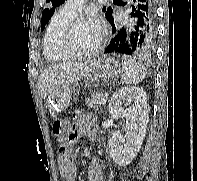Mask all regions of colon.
I'll return each mask as SVG.
<instances>
[{
    "instance_id": "5ec220e1",
    "label": "colon",
    "mask_w": 197,
    "mask_h": 181,
    "mask_svg": "<svg viewBox=\"0 0 197 181\" xmlns=\"http://www.w3.org/2000/svg\"><path fill=\"white\" fill-rule=\"evenodd\" d=\"M63 126H64V122L61 120H55L52 124H51V130L53 132V134L57 137H63Z\"/></svg>"
}]
</instances>
